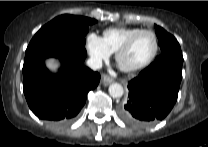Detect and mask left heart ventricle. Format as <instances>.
Returning a JSON list of instances; mask_svg holds the SVG:
<instances>
[{
    "instance_id": "obj_1",
    "label": "left heart ventricle",
    "mask_w": 208,
    "mask_h": 147,
    "mask_svg": "<svg viewBox=\"0 0 208 147\" xmlns=\"http://www.w3.org/2000/svg\"><path fill=\"white\" fill-rule=\"evenodd\" d=\"M155 48V41L151 34L144 33L136 38L129 50L121 57L124 65H138L147 61Z\"/></svg>"
}]
</instances>
